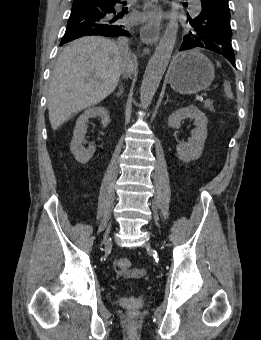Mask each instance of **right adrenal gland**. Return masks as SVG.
I'll return each instance as SVG.
<instances>
[{"label": "right adrenal gland", "mask_w": 261, "mask_h": 340, "mask_svg": "<svg viewBox=\"0 0 261 340\" xmlns=\"http://www.w3.org/2000/svg\"><path fill=\"white\" fill-rule=\"evenodd\" d=\"M122 94H123V87L120 86V87H119V91L116 93V96H117V97H120Z\"/></svg>", "instance_id": "1"}]
</instances>
